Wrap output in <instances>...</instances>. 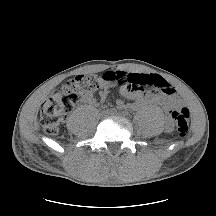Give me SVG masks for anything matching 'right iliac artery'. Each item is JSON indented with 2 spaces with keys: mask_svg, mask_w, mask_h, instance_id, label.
Wrapping results in <instances>:
<instances>
[{
  "mask_svg": "<svg viewBox=\"0 0 216 216\" xmlns=\"http://www.w3.org/2000/svg\"><path fill=\"white\" fill-rule=\"evenodd\" d=\"M110 112H111V113H116L117 110H116L115 108H112V109L110 110Z\"/></svg>",
  "mask_w": 216,
  "mask_h": 216,
  "instance_id": "1",
  "label": "right iliac artery"
}]
</instances>
